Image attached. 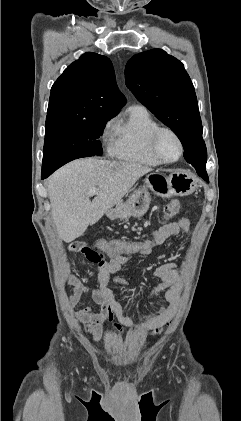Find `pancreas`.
Wrapping results in <instances>:
<instances>
[{
	"label": "pancreas",
	"instance_id": "cf45deb5",
	"mask_svg": "<svg viewBox=\"0 0 241 421\" xmlns=\"http://www.w3.org/2000/svg\"><path fill=\"white\" fill-rule=\"evenodd\" d=\"M136 198H137V195H136V191H135L133 194H131V196H130V197H129V199L127 200V204H128V206H131L132 202H133Z\"/></svg>",
	"mask_w": 241,
	"mask_h": 421
}]
</instances>
